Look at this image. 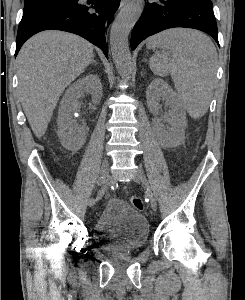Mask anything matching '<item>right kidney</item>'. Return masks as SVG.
Listing matches in <instances>:
<instances>
[{"instance_id":"right-kidney-1","label":"right kidney","mask_w":245,"mask_h":300,"mask_svg":"<svg viewBox=\"0 0 245 300\" xmlns=\"http://www.w3.org/2000/svg\"><path fill=\"white\" fill-rule=\"evenodd\" d=\"M89 93L92 103L99 104L102 98V84L97 75H87L74 82L65 92L58 112V137L63 146L69 150H79L86 140L88 127L78 125L74 119L75 112L80 107L79 99Z\"/></svg>"}]
</instances>
